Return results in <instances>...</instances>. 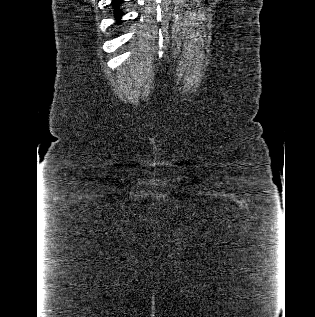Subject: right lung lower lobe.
<instances>
[{"label": "right lung lower lobe", "instance_id": "obj_1", "mask_svg": "<svg viewBox=\"0 0 315 317\" xmlns=\"http://www.w3.org/2000/svg\"><path fill=\"white\" fill-rule=\"evenodd\" d=\"M122 0H113L112 6L115 10L114 17L119 21L123 13L120 11L119 6L121 5Z\"/></svg>", "mask_w": 315, "mask_h": 317}]
</instances>
